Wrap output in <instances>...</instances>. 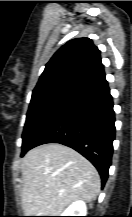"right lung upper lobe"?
Returning a JSON list of instances; mask_svg holds the SVG:
<instances>
[{
    "label": "right lung upper lobe",
    "mask_w": 132,
    "mask_h": 217,
    "mask_svg": "<svg viewBox=\"0 0 132 217\" xmlns=\"http://www.w3.org/2000/svg\"><path fill=\"white\" fill-rule=\"evenodd\" d=\"M107 84L100 51L89 38L63 45L46 64L32 96L67 91L77 96Z\"/></svg>",
    "instance_id": "1"
}]
</instances>
